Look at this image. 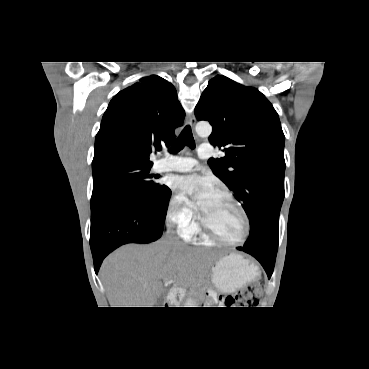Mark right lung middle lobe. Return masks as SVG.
I'll use <instances>...</instances> for the list:
<instances>
[{"label": "right lung middle lobe", "mask_w": 369, "mask_h": 369, "mask_svg": "<svg viewBox=\"0 0 369 369\" xmlns=\"http://www.w3.org/2000/svg\"><path fill=\"white\" fill-rule=\"evenodd\" d=\"M151 166L127 161L92 165L93 192L91 209L115 193H128L144 202H159L169 188L149 175Z\"/></svg>", "instance_id": "right-lung-middle-lobe-1"}]
</instances>
